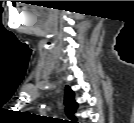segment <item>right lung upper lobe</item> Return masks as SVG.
Segmentation results:
<instances>
[{
  "instance_id": "1",
  "label": "right lung upper lobe",
  "mask_w": 134,
  "mask_h": 123,
  "mask_svg": "<svg viewBox=\"0 0 134 123\" xmlns=\"http://www.w3.org/2000/svg\"><path fill=\"white\" fill-rule=\"evenodd\" d=\"M64 103L67 117L70 118L73 123H76V117L74 116V113L76 112L78 105L74 100V92L70 89L69 86H66Z\"/></svg>"
}]
</instances>
